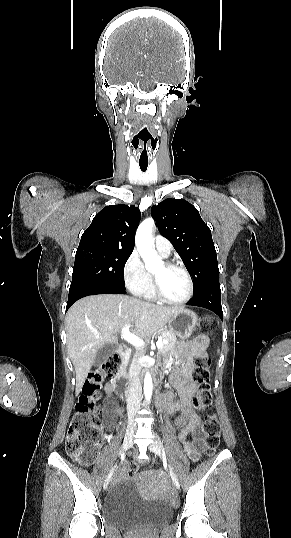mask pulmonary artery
<instances>
[{
  "label": "pulmonary artery",
  "mask_w": 291,
  "mask_h": 538,
  "mask_svg": "<svg viewBox=\"0 0 291 538\" xmlns=\"http://www.w3.org/2000/svg\"><path fill=\"white\" fill-rule=\"evenodd\" d=\"M154 246L163 257H169L172 253L171 243L163 236L158 235L155 237Z\"/></svg>",
  "instance_id": "1"
}]
</instances>
